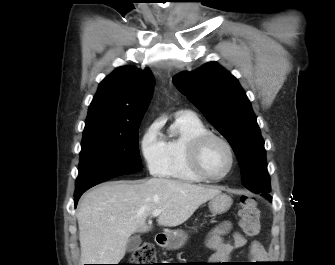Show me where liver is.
<instances>
[{"mask_svg": "<svg viewBox=\"0 0 335 265\" xmlns=\"http://www.w3.org/2000/svg\"><path fill=\"white\" fill-rule=\"evenodd\" d=\"M219 193L213 186L163 178L107 182L92 189L81 199L76 214L81 265L118 264L130 236L151 229L146 220L153 211L161 210L160 226L175 227Z\"/></svg>", "mask_w": 335, "mask_h": 265, "instance_id": "liver-1", "label": "liver"}]
</instances>
